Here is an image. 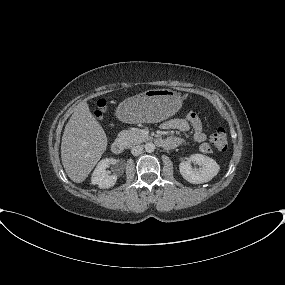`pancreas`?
Here are the masks:
<instances>
[{"label": "pancreas", "instance_id": "obj_1", "mask_svg": "<svg viewBox=\"0 0 285 285\" xmlns=\"http://www.w3.org/2000/svg\"><path fill=\"white\" fill-rule=\"evenodd\" d=\"M118 136L128 146L141 143L142 141L147 139V137L143 135L139 130L133 128L121 131Z\"/></svg>", "mask_w": 285, "mask_h": 285}]
</instances>
